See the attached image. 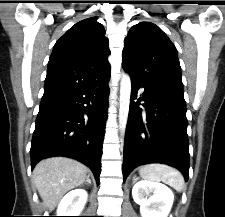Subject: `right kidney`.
I'll use <instances>...</instances> for the list:
<instances>
[{
    "instance_id": "1",
    "label": "right kidney",
    "mask_w": 225,
    "mask_h": 217,
    "mask_svg": "<svg viewBox=\"0 0 225 217\" xmlns=\"http://www.w3.org/2000/svg\"><path fill=\"white\" fill-rule=\"evenodd\" d=\"M88 194L84 189H75L67 193L57 209V216H79L82 212Z\"/></svg>"
}]
</instances>
